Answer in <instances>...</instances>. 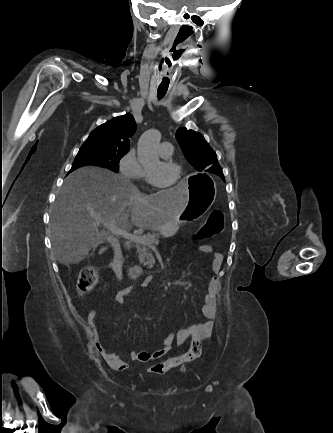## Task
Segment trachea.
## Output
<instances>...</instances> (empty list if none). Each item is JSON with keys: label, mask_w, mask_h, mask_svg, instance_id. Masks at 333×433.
<instances>
[{"label": "trachea", "mask_w": 333, "mask_h": 433, "mask_svg": "<svg viewBox=\"0 0 333 433\" xmlns=\"http://www.w3.org/2000/svg\"><path fill=\"white\" fill-rule=\"evenodd\" d=\"M167 90H168V87H162L160 85L159 88H158V91H157L158 99H161L162 97H164V95L166 94Z\"/></svg>", "instance_id": "1"}]
</instances>
